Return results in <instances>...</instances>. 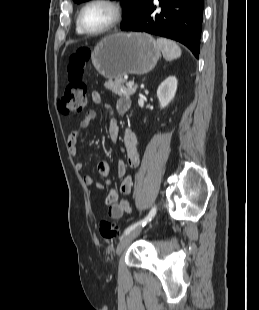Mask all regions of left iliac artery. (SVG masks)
<instances>
[{
  "label": "left iliac artery",
  "mask_w": 259,
  "mask_h": 310,
  "mask_svg": "<svg viewBox=\"0 0 259 310\" xmlns=\"http://www.w3.org/2000/svg\"><path fill=\"white\" fill-rule=\"evenodd\" d=\"M155 214H156V207L154 206V207L150 210L149 214H148L144 219H142V220H140V221H138V222L132 224L131 226H129V227L124 231V235H127L128 233H130L132 230H134V229H135L137 226H139V225H142V226L146 225L147 222H149V221H151V220L153 219V217L155 216Z\"/></svg>",
  "instance_id": "left-iliac-artery-1"
}]
</instances>
